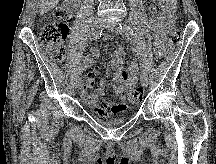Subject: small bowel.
<instances>
[{
    "mask_svg": "<svg viewBox=\"0 0 216 164\" xmlns=\"http://www.w3.org/2000/svg\"><path fill=\"white\" fill-rule=\"evenodd\" d=\"M156 16L152 19L151 24L154 35V49L158 56H161L163 44L167 29L174 20V12L176 10V0H154ZM94 56L98 55L96 49H92ZM126 53L120 46L112 54L111 68L113 69V91L121 97L117 103L107 102L104 99L105 87L107 85L106 78H103L100 85L91 91L94 84V73H89L80 82V93L82 100L88 108L99 116L107 117L124 112L127 109L128 100L127 92L136 84L138 80V65L132 60L127 67L123 66Z\"/></svg>",
    "mask_w": 216,
    "mask_h": 164,
    "instance_id": "small-bowel-1",
    "label": "small bowel"
}]
</instances>
